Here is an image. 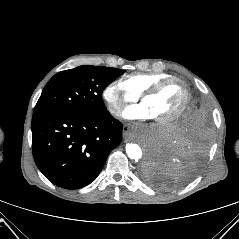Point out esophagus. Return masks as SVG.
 I'll return each instance as SVG.
<instances>
[{
  "mask_svg": "<svg viewBox=\"0 0 239 239\" xmlns=\"http://www.w3.org/2000/svg\"><path fill=\"white\" fill-rule=\"evenodd\" d=\"M129 126L125 125L123 127V137L127 141L129 139Z\"/></svg>",
  "mask_w": 239,
  "mask_h": 239,
  "instance_id": "34e87169",
  "label": "esophagus"
}]
</instances>
